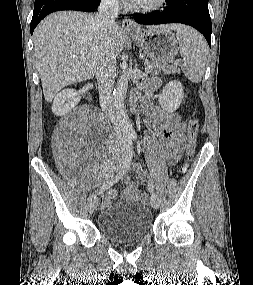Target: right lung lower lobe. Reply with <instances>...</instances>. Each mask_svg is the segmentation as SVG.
Listing matches in <instances>:
<instances>
[{
    "mask_svg": "<svg viewBox=\"0 0 253 285\" xmlns=\"http://www.w3.org/2000/svg\"><path fill=\"white\" fill-rule=\"evenodd\" d=\"M100 0H35L33 17L30 24L31 34L38 23L48 14L59 10L94 11Z\"/></svg>",
    "mask_w": 253,
    "mask_h": 285,
    "instance_id": "98d812e1",
    "label": "right lung lower lobe"
}]
</instances>
